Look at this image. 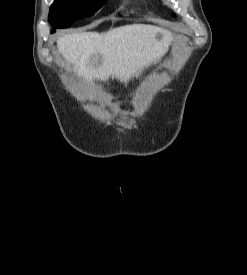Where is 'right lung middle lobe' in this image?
Instances as JSON below:
<instances>
[{"label":"right lung middle lobe","mask_w":247,"mask_h":275,"mask_svg":"<svg viewBox=\"0 0 247 275\" xmlns=\"http://www.w3.org/2000/svg\"><path fill=\"white\" fill-rule=\"evenodd\" d=\"M107 0H55L50 8L49 22L54 28H67L74 21L97 12ZM52 29L51 33H54Z\"/></svg>","instance_id":"1"}]
</instances>
